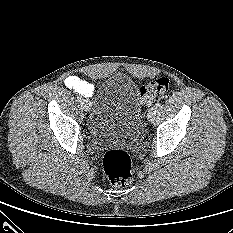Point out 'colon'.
<instances>
[{
    "mask_svg": "<svg viewBox=\"0 0 233 233\" xmlns=\"http://www.w3.org/2000/svg\"><path fill=\"white\" fill-rule=\"evenodd\" d=\"M169 88V79L158 77L139 90L140 101L149 105L163 96ZM103 171L109 183L118 188L130 184L133 178L129 154L120 149L108 150L103 157Z\"/></svg>",
    "mask_w": 233,
    "mask_h": 233,
    "instance_id": "5ec220e1",
    "label": "colon"
}]
</instances>
